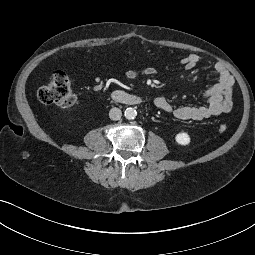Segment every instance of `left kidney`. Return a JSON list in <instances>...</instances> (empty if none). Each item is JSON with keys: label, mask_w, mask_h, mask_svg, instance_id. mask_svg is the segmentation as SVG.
<instances>
[{"label": "left kidney", "mask_w": 255, "mask_h": 255, "mask_svg": "<svg viewBox=\"0 0 255 255\" xmlns=\"http://www.w3.org/2000/svg\"><path fill=\"white\" fill-rule=\"evenodd\" d=\"M175 140L180 145H188L190 143V136L186 132H180L175 136Z\"/></svg>", "instance_id": "left-kidney-1"}]
</instances>
